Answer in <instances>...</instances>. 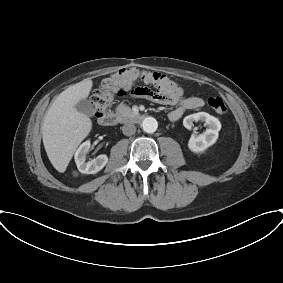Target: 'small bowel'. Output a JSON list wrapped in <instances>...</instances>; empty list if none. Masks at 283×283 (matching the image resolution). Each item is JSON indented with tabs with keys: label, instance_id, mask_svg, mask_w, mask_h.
Listing matches in <instances>:
<instances>
[{
	"label": "small bowel",
	"instance_id": "obj_1",
	"mask_svg": "<svg viewBox=\"0 0 283 283\" xmlns=\"http://www.w3.org/2000/svg\"><path fill=\"white\" fill-rule=\"evenodd\" d=\"M172 83H173L174 91L168 96L167 100L158 101L151 97H146V98H148L149 100L164 103V104H170V105L178 104V107L172 110L169 114L170 120L177 121L178 119L181 118V116L183 115L185 111L193 110V109H197L201 107L203 104V101L199 97H195V96L185 97L182 94V90L179 87V85L173 81Z\"/></svg>",
	"mask_w": 283,
	"mask_h": 283
}]
</instances>
